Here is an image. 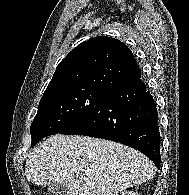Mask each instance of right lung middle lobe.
I'll use <instances>...</instances> for the list:
<instances>
[{
	"instance_id": "1",
	"label": "right lung middle lobe",
	"mask_w": 189,
	"mask_h": 195,
	"mask_svg": "<svg viewBox=\"0 0 189 195\" xmlns=\"http://www.w3.org/2000/svg\"><path fill=\"white\" fill-rule=\"evenodd\" d=\"M109 93L101 89L74 88L43 95L30 128L31 145L74 125Z\"/></svg>"
}]
</instances>
